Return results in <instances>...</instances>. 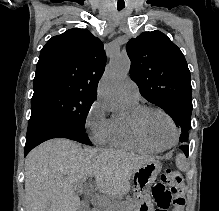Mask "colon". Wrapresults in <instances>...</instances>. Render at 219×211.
Returning <instances> with one entry per match:
<instances>
[{"label": "colon", "mask_w": 219, "mask_h": 211, "mask_svg": "<svg viewBox=\"0 0 219 211\" xmlns=\"http://www.w3.org/2000/svg\"><path fill=\"white\" fill-rule=\"evenodd\" d=\"M161 183L170 187L173 195V210L184 211L186 203V186L181 173L174 169H166L160 176Z\"/></svg>", "instance_id": "1"}]
</instances>
